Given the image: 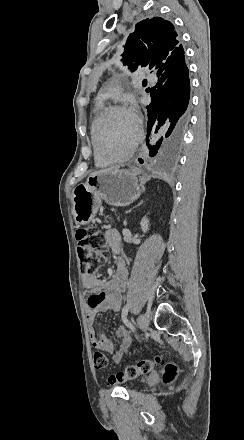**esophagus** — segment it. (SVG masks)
Returning a JSON list of instances; mask_svg holds the SVG:
<instances>
[{"label":"esophagus","mask_w":244,"mask_h":440,"mask_svg":"<svg viewBox=\"0 0 244 440\" xmlns=\"http://www.w3.org/2000/svg\"><path fill=\"white\" fill-rule=\"evenodd\" d=\"M147 152L148 149L146 146H144L141 150V152L139 153V155L137 156V158L135 159V165L142 167L143 165H145L146 161H147Z\"/></svg>","instance_id":"esophagus-1"}]
</instances>
